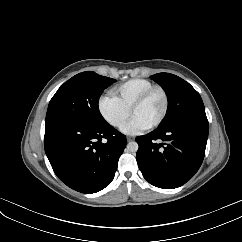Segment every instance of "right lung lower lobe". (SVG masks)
Here are the masks:
<instances>
[{
    "mask_svg": "<svg viewBox=\"0 0 242 242\" xmlns=\"http://www.w3.org/2000/svg\"><path fill=\"white\" fill-rule=\"evenodd\" d=\"M44 145L63 183L82 193H95L113 180L126 136L107 122L57 120L46 124Z\"/></svg>",
    "mask_w": 242,
    "mask_h": 242,
    "instance_id": "1",
    "label": "right lung lower lobe"
}]
</instances>
